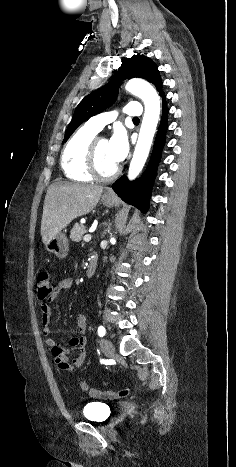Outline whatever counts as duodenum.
<instances>
[{
  "label": "duodenum",
  "mask_w": 236,
  "mask_h": 467,
  "mask_svg": "<svg viewBox=\"0 0 236 467\" xmlns=\"http://www.w3.org/2000/svg\"><path fill=\"white\" fill-rule=\"evenodd\" d=\"M96 270H97V263L95 259H91L88 263L87 270H86L87 276L92 277L95 274Z\"/></svg>",
  "instance_id": "duodenum-1"
}]
</instances>
